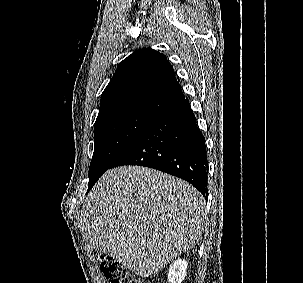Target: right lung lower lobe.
I'll return each instance as SVG.
<instances>
[{
    "label": "right lung lower lobe",
    "instance_id": "98d812e1",
    "mask_svg": "<svg viewBox=\"0 0 303 283\" xmlns=\"http://www.w3.org/2000/svg\"><path fill=\"white\" fill-rule=\"evenodd\" d=\"M122 165L146 166L182 178L207 198L205 138L189 101L183 99L157 115L111 168Z\"/></svg>",
    "mask_w": 303,
    "mask_h": 283
}]
</instances>
